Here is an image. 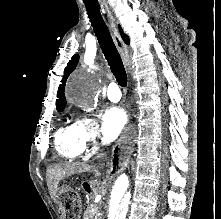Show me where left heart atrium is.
Masks as SVG:
<instances>
[{
    "label": "left heart atrium",
    "mask_w": 221,
    "mask_h": 219,
    "mask_svg": "<svg viewBox=\"0 0 221 219\" xmlns=\"http://www.w3.org/2000/svg\"><path fill=\"white\" fill-rule=\"evenodd\" d=\"M127 122V113L120 107H112L103 117L102 133L105 138H116Z\"/></svg>",
    "instance_id": "left-heart-atrium-1"
}]
</instances>
